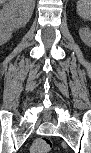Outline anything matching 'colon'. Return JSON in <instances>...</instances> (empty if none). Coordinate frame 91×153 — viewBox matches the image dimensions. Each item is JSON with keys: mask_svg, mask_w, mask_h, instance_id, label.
Here are the masks:
<instances>
[{"mask_svg": "<svg viewBox=\"0 0 91 153\" xmlns=\"http://www.w3.org/2000/svg\"><path fill=\"white\" fill-rule=\"evenodd\" d=\"M52 148V141L50 138L42 137L36 139L31 146V153H48Z\"/></svg>", "mask_w": 91, "mask_h": 153, "instance_id": "5ec220e1", "label": "colon"}]
</instances>
